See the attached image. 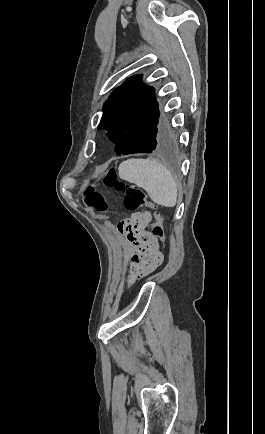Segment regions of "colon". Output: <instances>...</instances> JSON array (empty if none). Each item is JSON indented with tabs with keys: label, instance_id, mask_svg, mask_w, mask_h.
Segmentation results:
<instances>
[{
	"label": "colon",
	"instance_id": "5ec220e1",
	"mask_svg": "<svg viewBox=\"0 0 265 434\" xmlns=\"http://www.w3.org/2000/svg\"><path fill=\"white\" fill-rule=\"evenodd\" d=\"M104 185L108 187H114L116 190L123 194L124 207L131 212L139 211L142 208L153 209L154 206L147 194L137 186L125 184L117 180V171L114 168H110L103 179ZM85 204L95 210H100L103 205V195L95 187L89 185L86 189L84 197ZM153 222L152 234L156 239L163 241V219L157 211H153L150 215Z\"/></svg>",
	"mask_w": 265,
	"mask_h": 434
}]
</instances>
